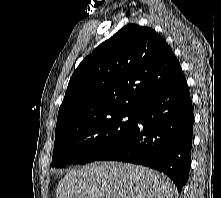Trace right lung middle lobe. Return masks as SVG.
I'll list each match as a JSON object with an SVG mask.
<instances>
[{
  "mask_svg": "<svg viewBox=\"0 0 221 198\" xmlns=\"http://www.w3.org/2000/svg\"><path fill=\"white\" fill-rule=\"evenodd\" d=\"M135 118L134 113H116L79 130L55 137L50 167L95 161L130 132Z\"/></svg>",
  "mask_w": 221,
  "mask_h": 198,
  "instance_id": "1",
  "label": "right lung middle lobe"
}]
</instances>
